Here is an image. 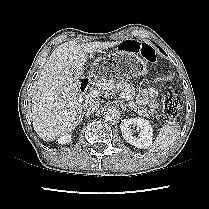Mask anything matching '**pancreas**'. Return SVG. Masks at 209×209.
<instances>
[{
	"instance_id": "cf45deb5",
	"label": "pancreas",
	"mask_w": 209,
	"mask_h": 209,
	"mask_svg": "<svg viewBox=\"0 0 209 209\" xmlns=\"http://www.w3.org/2000/svg\"><path fill=\"white\" fill-rule=\"evenodd\" d=\"M100 87L106 90L113 89V90L123 91L127 96L126 99L128 100V105L132 110H134L136 113H138V115L143 116V117L153 116V114H151L147 110H144V109L139 110L136 104H134L132 100L135 95V88L132 85L124 81L109 80L107 82L101 83Z\"/></svg>"
}]
</instances>
